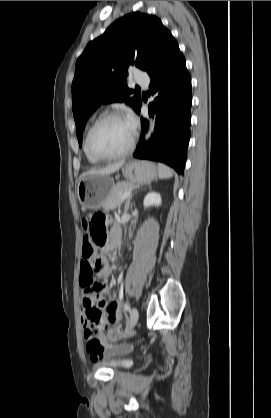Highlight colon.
I'll list each match as a JSON object with an SVG mask.
<instances>
[{
	"mask_svg": "<svg viewBox=\"0 0 271 418\" xmlns=\"http://www.w3.org/2000/svg\"><path fill=\"white\" fill-rule=\"evenodd\" d=\"M84 227L88 231L87 238H89V243H94L95 249L102 248L107 239L105 216L103 214H95L90 219L84 220ZM88 317L92 322L91 328L87 332L91 336L89 346L94 350H99L101 348V344L97 337L100 331L105 329L106 326L102 324L98 311L90 310L88 312Z\"/></svg>",
	"mask_w": 271,
	"mask_h": 418,
	"instance_id": "colon-1",
	"label": "colon"
}]
</instances>
